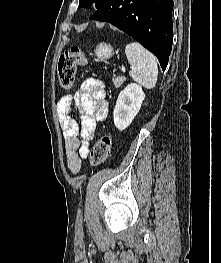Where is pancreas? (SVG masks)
<instances>
[{
    "mask_svg": "<svg viewBox=\"0 0 221 263\" xmlns=\"http://www.w3.org/2000/svg\"><path fill=\"white\" fill-rule=\"evenodd\" d=\"M125 78L124 77H115L113 78V83L115 85L116 88H119L124 82H125Z\"/></svg>",
    "mask_w": 221,
    "mask_h": 263,
    "instance_id": "pancreas-1",
    "label": "pancreas"
}]
</instances>
